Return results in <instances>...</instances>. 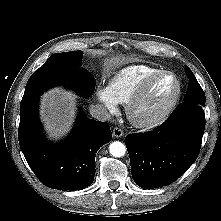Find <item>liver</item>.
<instances>
[{
  "mask_svg": "<svg viewBox=\"0 0 221 221\" xmlns=\"http://www.w3.org/2000/svg\"><path fill=\"white\" fill-rule=\"evenodd\" d=\"M40 115L49 137L61 138L74 120V95L60 88L50 89L41 96Z\"/></svg>",
  "mask_w": 221,
  "mask_h": 221,
  "instance_id": "1",
  "label": "liver"
}]
</instances>
